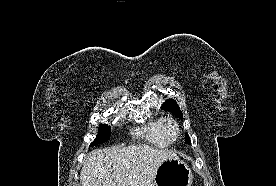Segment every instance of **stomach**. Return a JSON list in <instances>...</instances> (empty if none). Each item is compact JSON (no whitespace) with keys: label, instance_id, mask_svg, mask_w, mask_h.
Masks as SVG:
<instances>
[{"label":"stomach","instance_id":"obj_1","mask_svg":"<svg viewBox=\"0 0 276 186\" xmlns=\"http://www.w3.org/2000/svg\"><path fill=\"white\" fill-rule=\"evenodd\" d=\"M192 172L178 157L168 158L157 169L153 186H191Z\"/></svg>","mask_w":276,"mask_h":186}]
</instances>
